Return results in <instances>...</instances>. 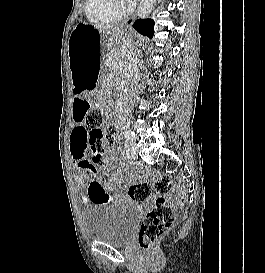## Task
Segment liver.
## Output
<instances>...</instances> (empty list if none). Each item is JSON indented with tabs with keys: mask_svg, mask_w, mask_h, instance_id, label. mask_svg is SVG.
Here are the masks:
<instances>
[{
	"mask_svg": "<svg viewBox=\"0 0 265 273\" xmlns=\"http://www.w3.org/2000/svg\"><path fill=\"white\" fill-rule=\"evenodd\" d=\"M94 27L96 29L100 30L101 32H110V33L115 34V33L119 32L123 26L117 25L115 27H112L110 25L96 24V25H94Z\"/></svg>",
	"mask_w": 265,
	"mask_h": 273,
	"instance_id": "1",
	"label": "liver"
}]
</instances>
